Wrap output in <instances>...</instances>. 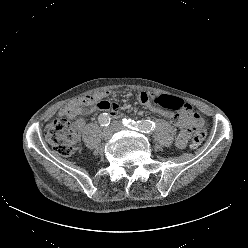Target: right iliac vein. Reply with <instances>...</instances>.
Instances as JSON below:
<instances>
[{
  "mask_svg": "<svg viewBox=\"0 0 248 248\" xmlns=\"http://www.w3.org/2000/svg\"><path fill=\"white\" fill-rule=\"evenodd\" d=\"M102 135L104 139H109L113 135V129L111 127L105 128Z\"/></svg>",
  "mask_w": 248,
  "mask_h": 248,
  "instance_id": "obj_1",
  "label": "right iliac vein"
}]
</instances>
